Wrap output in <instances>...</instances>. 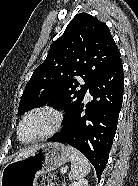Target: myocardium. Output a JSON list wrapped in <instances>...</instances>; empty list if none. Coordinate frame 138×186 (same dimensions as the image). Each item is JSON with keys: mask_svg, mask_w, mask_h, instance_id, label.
Listing matches in <instances>:
<instances>
[{"mask_svg": "<svg viewBox=\"0 0 138 186\" xmlns=\"http://www.w3.org/2000/svg\"><path fill=\"white\" fill-rule=\"evenodd\" d=\"M41 111L49 112L54 116L55 123H54L53 127L49 131H47L46 133H44L42 135H39V136L34 137L32 139H29V140H23L21 138L20 131H21V128H22L24 122L26 121V119L30 115H32L34 113H37V112H41ZM63 121H64L63 112L61 110H59L58 108L54 107V106L41 105V106L34 107V108L28 110L22 116V118H21V120L18 124V127H17V137H18L19 141L24 143V144H31V143H34V142H38V141H41V140L48 139V138L52 137L54 134H56L61 129V127L63 125Z\"/></svg>", "mask_w": 138, "mask_h": 186, "instance_id": "obj_1", "label": "myocardium"}]
</instances>
